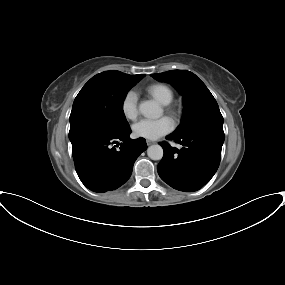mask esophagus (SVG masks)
<instances>
[{
  "label": "esophagus",
  "mask_w": 285,
  "mask_h": 285,
  "mask_svg": "<svg viewBox=\"0 0 285 285\" xmlns=\"http://www.w3.org/2000/svg\"><path fill=\"white\" fill-rule=\"evenodd\" d=\"M147 145H152L154 143V141L151 140H146Z\"/></svg>",
  "instance_id": "1"
}]
</instances>
